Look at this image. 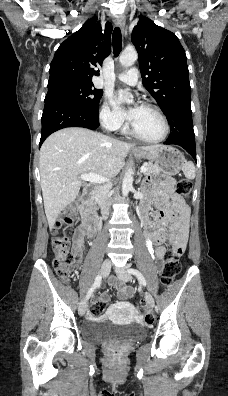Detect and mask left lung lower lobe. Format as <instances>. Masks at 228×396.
Masks as SVG:
<instances>
[{
	"mask_svg": "<svg viewBox=\"0 0 228 396\" xmlns=\"http://www.w3.org/2000/svg\"><path fill=\"white\" fill-rule=\"evenodd\" d=\"M181 114L175 117L172 109L165 116L170 124L171 132L164 144L183 147L196 161L195 134L193 130L191 101L184 100L176 104Z\"/></svg>",
	"mask_w": 228,
	"mask_h": 396,
	"instance_id": "0a47b994",
	"label": "left lung lower lobe"
}]
</instances>
